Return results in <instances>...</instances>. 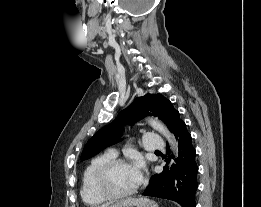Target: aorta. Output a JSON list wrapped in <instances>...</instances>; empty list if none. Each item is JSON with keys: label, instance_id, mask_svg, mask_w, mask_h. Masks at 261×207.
Masks as SVG:
<instances>
[{"label": "aorta", "instance_id": "762f6f07", "mask_svg": "<svg viewBox=\"0 0 261 207\" xmlns=\"http://www.w3.org/2000/svg\"><path fill=\"white\" fill-rule=\"evenodd\" d=\"M148 123L150 124V126L153 129H155L156 131L161 133L168 140V142L172 146V149H174V137L169 132V130L166 128V126L163 123H161L160 121L155 120V119H148Z\"/></svg>", "mask_w": 261, "mask_h": 207}]
</instances>
